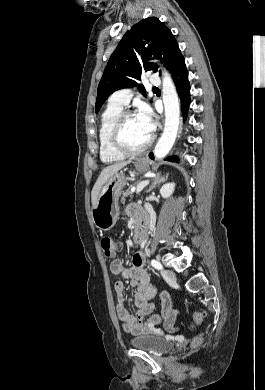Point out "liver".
I'll return each instance as SVG.
<instances>
[{
  "label": "liver",
  "mask_w": 265,
  "mask_h": 390,
  "mask_svg": "<svg viewBox=\"0 0 265 390\" xmlns=\"http://www.w3.org/2000/svg\"><path fill=\"white\" fill-rule=\"evenodd\" d=\"M129 163L130 161L120 162L103 168L91 192V202L93 208L97 205L99 194L104 184L120 169L127 166Z\"/></svg>",
  "instance_id": "1"
}]
</instances>
